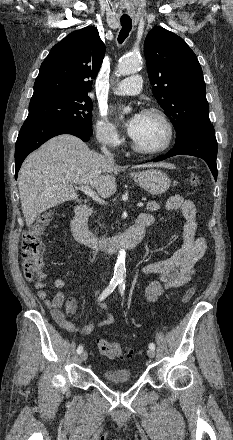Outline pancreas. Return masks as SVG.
<instances>
[{
  "label": "pancreas",
  "instance_id": "cf45deb5",
  "mask_svg": "<svg viewBox=\"0 0 233 440\" xmlns=\"http://www.w3.org/2000/svg\"><path fill=\"white\" fill-rule=\"evenodd\" d=\"M160 209V205L156 201H150L147 203V211H157Z\"/></svg>",
  "mask_w": 233,
  "mask_h": 440
}]
</instances>
